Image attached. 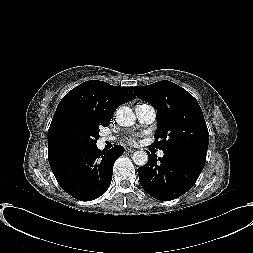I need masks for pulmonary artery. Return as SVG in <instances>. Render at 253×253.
<instances>
[{
    "label": "pulmonary artery",
    "mask_w": 253,
    "mask_h": 253,
    "mask_svg": "<svg viewBox=\"0 0 253 253\" xmlns=\"http://www.w3.org/2000/svg\"><path fill=\"white\" fill-rule=\"evenodd\" d=\"M135 113H136V116H137L139 122H141L142 124H151L156 119V110L151 104H148V103H138L135 106ZM109 140H112V138L111 137H102L101 138L102 143L109 141ZM158 156L163 157L164 152L159 151Z\"/></svg>",
    "instance_id": "e3ab8cb5"
}]
</instances>
